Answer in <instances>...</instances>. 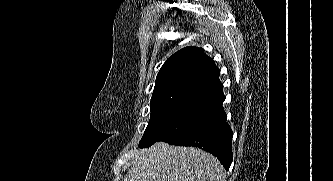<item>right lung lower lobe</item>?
<instances>
[{"label":"right lung lower lobe","instance_id":"obj_1","mask_svg":"<svg viewBox=\"0 0 333 181\" xmlns=\"http://www.w3.org/2000/svg\"><path fill=\"white\" fill-rule=\"evenodd\" d=\"M226 120L227 115L221 104L208 110L189 131L167 143L176 146H194L210 152L228 170L233 159V132Z\"/></svg>","mask_w":333,"mask_h":181}]
</instances>
